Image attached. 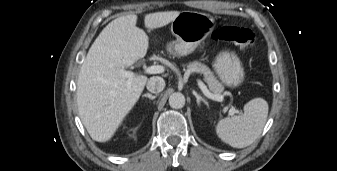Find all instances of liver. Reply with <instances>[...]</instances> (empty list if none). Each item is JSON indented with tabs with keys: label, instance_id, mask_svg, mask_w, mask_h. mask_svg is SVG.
Returning a JSON list of instances; mask_svg holds the SVG:
<instances>
[{
	"label": "liver",
	"instance_id": "liver-1",
	"mask_svg": "<svg viewBox=\"0 0 337 171\" xmlns=\"http://www.w3.org/2000/svg\"><path fill=\"white\" fill-rule=\"evenodd\" d=\"M179 11L146 14L145 27L161 28ZM137 15L111 21L95 39L81 66L77 82L79 116L91 138L106 142L138 101L148 78L136 75L130 87L121 73L143 58L149 47L146 33L136 26Z\"/></svg>",
	"mask_w": 337,
	"mask_h": 171
}]
</instances>
